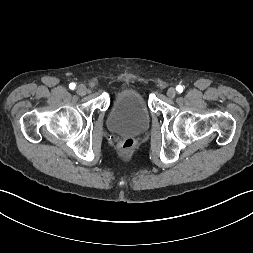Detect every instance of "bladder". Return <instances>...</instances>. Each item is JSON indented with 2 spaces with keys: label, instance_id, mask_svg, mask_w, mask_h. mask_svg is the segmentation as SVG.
Segmentation results:
<instances>
[{
  "label": "bladder",
  "instance_id": "1",
  "mask_svg": "<svg viewBox=\"0 0 253 253\" xmlns=\"http://www.w3.org/2000/svg\"><path fill=\"white\" fill-rule=\"evenodd\" d=\"M150 124V113L144 96L126 89L115 95L107 117L108 129L120 135H139Z\"/></svg>",
  "mask_w": 253,
  "mask_h": 253
}]
</instances>
